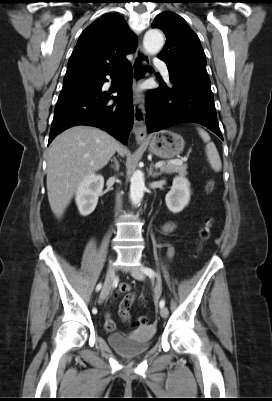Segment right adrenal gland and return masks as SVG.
Wrapping results in <instances>:
<instances>
[{"label":"right adrenal gland","instance_id":"2a0ac1e0","mask_svg":"<svg viewBox=\"0 0 272 401\" xmlns=\"http://www.w3.org/2000/svg\"><path fill=\"white\" fill-rule=\"evenodd\" d=\"M113 160H114L115 166H111V168L118 171L119 170V162L115 157L113 158Z\"/></svg>","mask_w":272,"mask_h":401}]
</instances>
